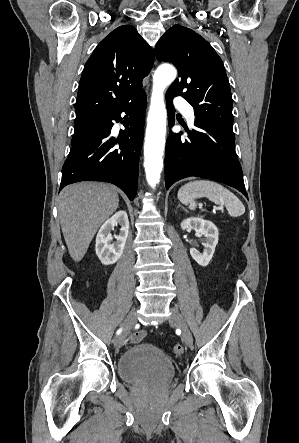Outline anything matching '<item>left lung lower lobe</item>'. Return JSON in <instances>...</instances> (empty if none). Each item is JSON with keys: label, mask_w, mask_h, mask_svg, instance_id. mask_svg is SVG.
<instances>
[{"label": "left lung lower lobe", "mask_w": 299, "mask_h": 443, "mask_svg": "<svg viewBox=\"0 0 299 443\" xmlns=\"http://www.w3.org/2000/svg\"><path fill=\"white\" fill-rule=\"evenodd\" d=\"M173 98L166 94L169 127L174 123ZM194 125L188 139L170 132L165 150L166 188L182 178L197 176L225 183L248 197L233 131L204 119H195Z\"/></svg>", "instance_id": "0a47b994"}]
</instances>
